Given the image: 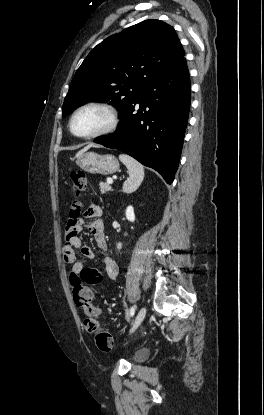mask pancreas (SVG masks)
Returning a JSON list of instances; mask_svg holds the SVG:
<instances>
[{"label":"pancreas","mask_w":264,"mask_h":415,"mask_svg":"<svg viewBox=\"0 0 264 415\" xmlns=\"http://www.w3.org/2000/svg\"><path fill=\"white\" fill-rule=\"evenodd\" d=\"M99 186H100L101 193H103V194L112 190L110 185L107 184V183H104V182H100Z\"/></svg>","instance_id":"pancreas-1"}]
</instances>
